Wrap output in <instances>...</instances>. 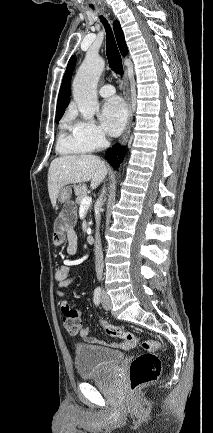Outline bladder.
Listing matches in <instances>:
<instances>
[{
  "label": "bladder",
  "mask_w": 213,
  "mask_h": 433,
  "mask_svg": "<svg viewBox=\"0 0 213 433\" xmlns=\"http://www.w3.org/2000/svg\"><path fill=\"white\" fill-rule=\"evenodd\" d=\"M125 354L102 346L80 343L75 346V365L81 379L101 378L110 374Z\"/></svg>",
  "instance_id": "31cf9c89"
}]
</instances>
